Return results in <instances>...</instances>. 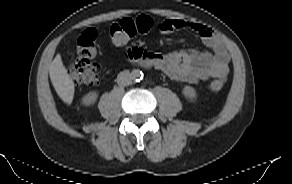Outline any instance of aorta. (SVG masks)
Returning a JSON list of instances; mask_svg holds the SVG:
<instances>
[{
	"label": "aorta",
	"instance_id": "obj_1",
	"mask_svg": "<svg viewBox=\"0 0 292 184\" xmlns=\"http://www.w3.org/2000/svg\"><path fill=\"white\" fill-rule=\"evenodd\" d=\"M132 80L134 81H139L143 78V73L139 69H134L131 72Z\"/></svg>",
	"mask_w": 292,
	"mask_h": 184
}]
</instances>
